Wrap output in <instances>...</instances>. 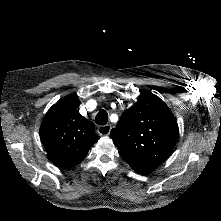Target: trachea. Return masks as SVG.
<instances>
[{"mask_svg": "<svg viewBox=\"0 0 221 221\" xmlns=\"http://www.w3.org/2000/svg\"><path fill=\"white\" fill-rule=\"evenodd\" d=\"M95 122L98 125H105L108 122V114L105 110H100L95 117Z\"/></svg>", "mask_w": 221, "mask_h": 221, "instance_id": "obj_1", "label": "trachea"}]
</instances>
